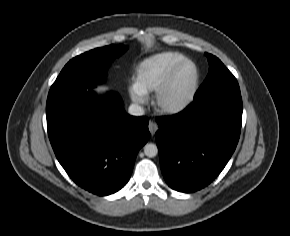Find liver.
Wrapping results in <instances>:
<instances>
[{"mask_svg":"<svg viewBox=\"0 0 290 236\" xmlns=\"http://www.w3.org/2000/svg\"><path fill=\"white\" fill-rule=\"evenodd\" d=\"M106 89H107L106 87H98L97 88L98 91H103V90H106Z\"/></svg>","mask_w":290,"mask_h":236,"instance_id":"obj_1","label":"liver"}]
</instances>
